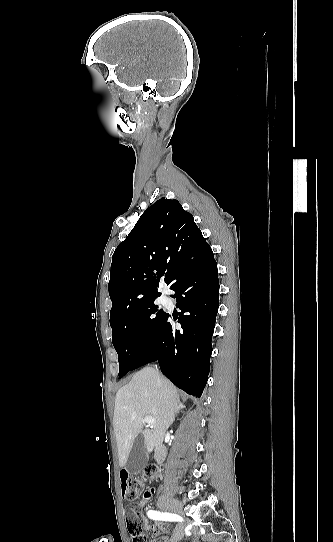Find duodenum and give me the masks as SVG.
<instances>
[{
    "mask_svg": "<svg viewBox=\"0 0 333 542\" xmlns=\"http://www.w3.org/2000/svg\"><path fill=\"white\" fill-rule=\"evenodd\" d=\"M166 457V448L163 445H157L154 451V460L157 464L162 463Z\"/></svg>",
    "mask_w": 333,
    "mask_h": 542,
    "instance_id": "duodenum-1",
    "label": "duodenum"
}]
</instances>
